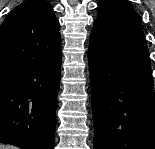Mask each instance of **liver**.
Here are the masks:
<instances>
[{"mask_svg": "<svg viewBox=\"0 0 155 149\" xmlns=\"http://www.w3.org/2000/svg\"><path fill=\"white\" fill-rule=\"evenodd\" d=\"M0 149H17V148H15L13 146H10V145H2V144H0Z\"/></svg>", "mask_w": 155, "mask_h": 149, "instance_id": "1", "label": "liver"}]
</instances>
